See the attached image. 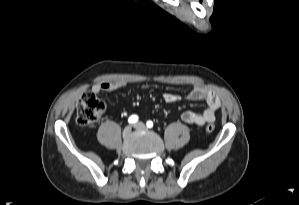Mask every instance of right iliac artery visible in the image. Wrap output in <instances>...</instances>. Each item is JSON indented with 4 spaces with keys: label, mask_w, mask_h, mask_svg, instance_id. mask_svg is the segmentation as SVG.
<instances>
[{
    "label": "right iliac artery",
    "mask_w": 299,
    "mask_h": 205,
    "mask_svg": "<svg viewBox=\"0 0 299 205\" xmlns=\"http://www.w3.org/2000/svg\"><path fill=\"white\" fill-rule=\"evenodd\" d=\"M138 121V116L137 115H132L129 117L128 122L130 124L136 123Z\"/></svg>",
    "instance_id": "obj_1"
}]
</instances>
